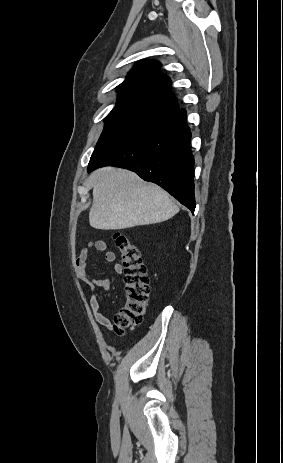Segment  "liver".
<instances>
[{
    "instance_id": "6515ba94",
    "label": "liver",
    "mask_w": 283,
    "mask_h": 463,
    "mask_svg": "<svg viewBox=\"0 0 283 463\" xmlns=\"http://www.w3.org/2000/svg\"><path fill=\"white\" fill-rule=\"evenodd\" d=\"M89 223L101 230H120L160 223L179 207L161 187L142 181L128 170L106 167L94 172Z\"/></svg>"
}]
</instances>
